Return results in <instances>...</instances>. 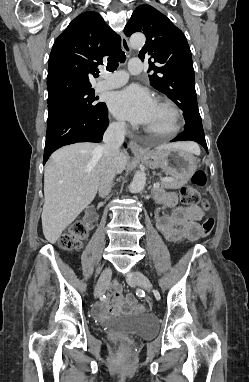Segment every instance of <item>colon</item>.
<instances>
[{
  "label": "colon",
  "instance_id": "obj_1",
  "mask_svg": "<svg viewBox=\"0 0 249 382\" xmlns=\"http://www.w3.org/2000/svg\"><path fill=\"white\" fill-rule=\"evenodd\" d=\"M206 182V175L202 170H197L192 176V183L196 186H203ZM181 202L185 206H196L200 202V195L197 190L192 186H185L180 192ZM204 208H208L206 201L202 202ZM214 227V220L211 217H206L202 223L203 236L209 235ZM88 235V227L83 221L76 222L70 229V231L60 239V245L64 250L77 251L82 242ZM135 310L137 312L145 311V307L142 304H136Z\"/></svg>",
  "mask_w": 249,
  "mask_h": 382
}]
</instances>
